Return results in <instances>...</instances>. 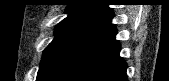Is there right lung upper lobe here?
<instances>
[{"instance_id":"cb5924a9","label":"right lung upper lobe","mask_w":169,"mask_h":81,"mask_svg":"<svg viewBox=\"0 0 169 81\" xmlns=\"http://www.w3.org/2000/svg\"><path fill=\"white\" fill-rule=\"evenodd\" d=\"M96 1L77 0L68 5L66 8L68 17L66 19H81L86 23H90L113 12L108 5L97 4Z\"/></svg>"}]
</instances>
